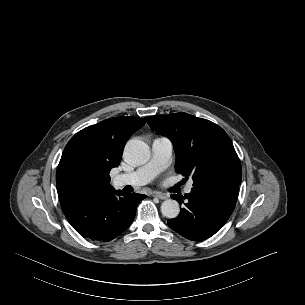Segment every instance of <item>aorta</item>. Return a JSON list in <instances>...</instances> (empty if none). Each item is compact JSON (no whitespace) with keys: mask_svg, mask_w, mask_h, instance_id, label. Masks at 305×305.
Masks as SVG:
<instances>
[{"mask_svg":"<svg viewBox=\"0 0 305 305\" xmlns=\"http://www.w3.org/2000/svg\"><path fill=\"white\" fill-rule=\"evenodd\" d=\"M124 155L132 164L141 165L149 160L150 149L145 142L137 139H132L129 140L124 147ZM161 212L166 218H176L180 212L178 202L173 199L165 200L161 204Z\"/></svg>","mask_w":305,"mask_h":305,"instance_id":"aorta-1","label":"aorta"}]
</instances>
